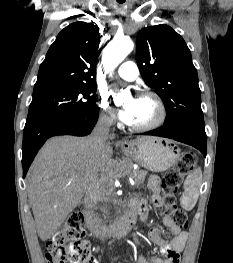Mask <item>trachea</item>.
I'll use <instances>...</instances> for the list:
<instances>
[{
    "mask_svg": "<svg viewBox=\"0 0 233 263\" xmlns=\"http://www.w3.org/2000/svg\"><path fill=\"white\" fill-rule=\"evenodd\" d=\"M120 4L124 3L125 0H117Z\"/></svg>",
    "mask_w": 233,
    "mask_h": 263,
    "instance_id": "1",
    "label": "trachea"
}]
</instances>
